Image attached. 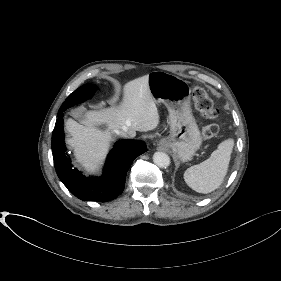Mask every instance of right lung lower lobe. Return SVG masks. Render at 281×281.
I'll list each match as a JSON object with an SVG mask.
<instances>
[{
    "mask_svg": "<svg viewBox=\"0 0 281 281\" xmlns=\"http://www.w3.org/2000/svg\"><path fill=\"white\" fill-rule=\"evenodd\" d=\"M64 113L58 115L52 134V151L58 177L67 189L84 201L105 202L121 194L125 187L126 174L133 160L147 151L140 140H120L110 151L101 177H85L65 154L63 131Z\"/></svg>",
    "mask_w": 281,
    "mask_h": 281,
    "instance_id": "98d812e1",
    "label": "right lung lower lobe"
}]
</instances>
